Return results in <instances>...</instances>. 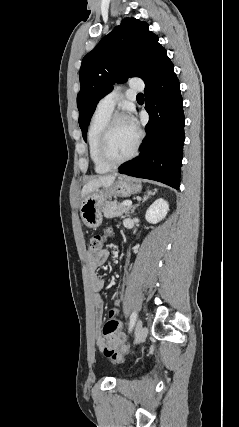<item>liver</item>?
Here are the masks:
<instances>
[{
	"label": "liver",
	"mask_w": 239,
	"mask_h": 427,
	"mask_svg": "<svg viewBox=\"0 0 239 427\" xmlns=\"http://www.w3.org/2000/svg\"><path fill=\"white\" fill-rule=\"evenodd\" d=\"M116 176L114 175H106L99 176L93 180L87 182L81 191V197L84 199L88 194L92 193L95 190H98L101 186L104 188H109L115 181Z\"/></svg>",
	"instance_id": "6515ba94"
}]
</instances>
